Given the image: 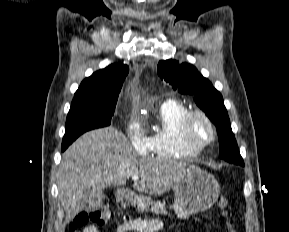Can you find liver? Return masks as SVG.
<instances>
[{"label": "liver", "instance_id": "obj_1", "mask_svg": "<svg viewBox=\"0 0 289 232\" xmlns=\"http://www.w3.org/2000/svg\"><path fill=\"white\" fill-rule=\"evenodd\" d=\"M194 166L161 158H137L125 135L114 127L89 131L63 153L58 171V198L69 223L83 209L84 192L124 186L137 175L134 189L161 195L184 178Z\"/></svg>", "mask_w": 289, "mask_h": 232}]
</instances>
